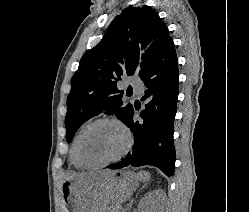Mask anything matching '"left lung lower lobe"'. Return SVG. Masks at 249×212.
Segmentation results:
<instances>
[{
  "label": "left lung lower lobe",
  "mask_w": 249,
  "mask_h": 212,
  "mask_svg": "<svg viewBox=\"0 0 249 212\" xmlns=\"http://www.w3.org/2000/svg\"><path fill=\"white\" fill-rule=\"evenodd\" d=\"M147 89L142 100L145 109L140 112V121L133 119L132 106L123 122L134 137L132 153L121 162L109 165V169L127 166L152 165L161 169L168 177L174 175L175 147L173 123L178 98V62L173 41L167 43L157 59L141 77Z\"/></svg>",
  "instance_id": "0a47b994"
}]
</instances>
